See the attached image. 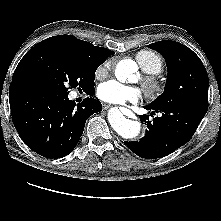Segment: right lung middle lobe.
Instances as JSON below:
<instances>
[{"label":"right lung middle lobe","mask_w":221,"mask_h":221,"mask_svg":"<svg viewBox=\"0 0 221 221\" xmlns=\"http://www.w3.org/2000/svg\"><path fill=\"white\" fill-rule=\"evenodd\" d=\"M99 64L93 63L63 45L41 41L19 62L13 79L28 86L59 95H68L70 88L84 91L94 87Z\"/></svg>","instance_id":"obj_1"}]
</instances>
